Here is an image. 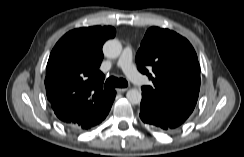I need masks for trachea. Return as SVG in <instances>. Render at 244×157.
<instances>
[{
    "instance_id": "1",
    "label": "trachea",
    "mask_w": 244,
    "mask_h": 157,
    "mask_svg": "<svg viewBox=\"0 0 244 157\" xmlns=\"http://www.w3.org/2000/svg\"><path fill=\"white\" fill-rule=\"evenodd\" d=\"M128 86V82L123 79V78H117V77H110L106 80L105 84H104V88L105 89H112L115 87H127Z\"/></svg>"
}]
</instances>
